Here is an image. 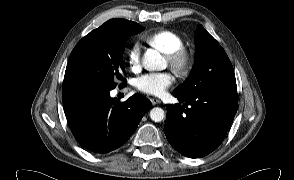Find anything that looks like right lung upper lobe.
Masks as SVG:
<instances>
[{"label": "right lung upper lobe", "instance_id": "right-lung-upper-lobe-1", "mask_svg": "<svg viewBox=\"0 0 294 180\" xmlns=\"http://www.w3.org/2000/svg\"><path fill=\"white\" fill-rule=\"evenodd\" d=\"M140 27H142V26H140L139 24H137L135 22L128 21L125 19L115 18V19H111V20L105 22L102 26H100L97 29L120 28V29H125V30L137 31L140 29Z\"/></svg>", "mask_w": 294, "mask_h": 180}]
</instances>
